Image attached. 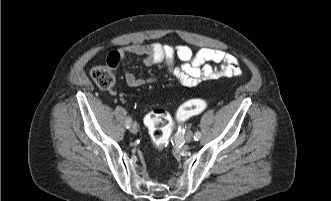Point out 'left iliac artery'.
Wrapping results in <instances>:
<instances>
[{
	"mask_svg": "<svg viewBox=\"0 0 331 201\" xmlns=\"http://www.w3.org/2000/svg\"><path fill=\"white\" fill-rule=\"evenodd\" d=\"M199 139H201V133L199 131H197L194 134V140L198 141Z\"/></svg>",
	"mask_w": 331,
	"mask_h": 201,
	"instance_id": "obj_1",
	"label": "left iliac artery"
}]
</instances>
